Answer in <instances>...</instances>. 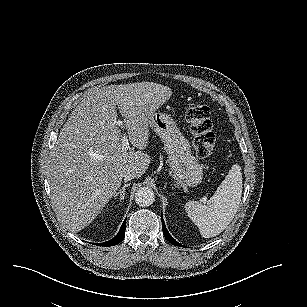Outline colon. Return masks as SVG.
I'll return each mask as SVG.
<instances>
[{"instance_id":"colon-1","label":"colon","mask_w":307,"mask_h":307,"mask_svg":"<svg viewBox=\"0 0 307 307\" xmlns=\"http://www.w3.org/2000/svg\"><path fill=\"white\" fill-rule=\"evenodd\" d=\"M211 111L204 102L188 106L185 118L193 135V147L198 158H208L215 146V135L211 122Z\"/></svg>"}]
</instances>
